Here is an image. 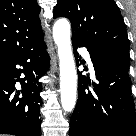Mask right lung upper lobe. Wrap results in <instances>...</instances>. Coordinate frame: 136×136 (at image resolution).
<instances>
[{
    "label": "right lung upper lobe",
    "instance_id": "right-lung-upper-lobe-1",
    "mask_svg": "<svg viewBox=\"0 0 136 136\" xmlns=\"http://www.w3.org/2000/svg\"><path fill=\"white\" fill-rule=\"evenodd\" d=\"M36 0H0V58L43 37Z\"/></svg>",
    "mask_w": 136,
    "mask_h": 136
}]
</instances>
